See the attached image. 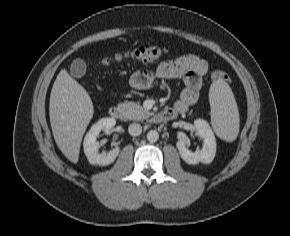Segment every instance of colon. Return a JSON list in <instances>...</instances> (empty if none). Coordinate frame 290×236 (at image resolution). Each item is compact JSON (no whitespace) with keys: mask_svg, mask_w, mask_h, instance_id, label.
Wrapping results in <instances>:
<instances>
[{"mask_svg":"<svg viewBox=\"0 0 290 236\" xmlns=\"http://www.w3.org/2000/svg\"><path fill=\"white\" fill-rule=\"evenodd\" d=\"M168 53V48L160 45H143L132 51L117 53L111 57L105 58L102 63L105 66L122 63L125 61L149 62L161 58ZM214 81L228 80V75L221 70H216L211 75Z\"/></svg>","mask_w":290,"mask_h":236,"instance_id":"1","label":"colon"}]
</instances>
